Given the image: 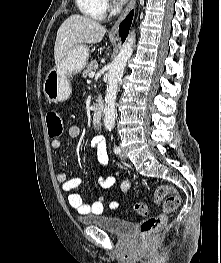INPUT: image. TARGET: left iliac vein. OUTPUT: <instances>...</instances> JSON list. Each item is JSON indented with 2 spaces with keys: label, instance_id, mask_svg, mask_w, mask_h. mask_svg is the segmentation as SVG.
Listing matches in <instances>:
<instances>
[{
  "label": "left iliac vein",
  "instance_id": "obj_1",
  "mask_svg": "<svg viewBox=\"0 0 221 263\" xmlns=\"http://www.w3.org/2000/svg\"><path fill=\"white\" fill-rule=\"evenodd\" d=\"M120 157H121V158H125V153L123 152L122 149H121Z\"/></svg>",
  "mask_w": 221,
  "mask_h": 263
}]
</instances>
